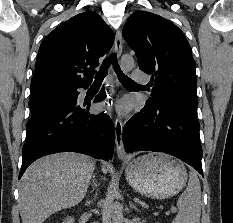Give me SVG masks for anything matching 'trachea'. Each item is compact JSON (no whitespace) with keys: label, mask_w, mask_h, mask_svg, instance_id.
Masks as SVG:
<instances>
[{"label":"trachea","mask_w":233,"mask_h":223,"mask_svg":"<svg viewBox=\"0 0 233 223\" xmlns=\"http://www.w3.org/2000/svg\"><path fill=\"white\" fill-rule=\"evenodd\" d=\"M113 65V68L115 72L118 75V78L122 84H129V85H139L138 83L134 82L131 78L127 77V75H124L122 73V70L120 69L118 62H117V57L116 54L111 55L109 58H106L100 68V72L97 73L95 77L94 83H102L106 73L107 69L109 68L110 65Z\"/></svg>","instance_id":"1"}]
</instances>
